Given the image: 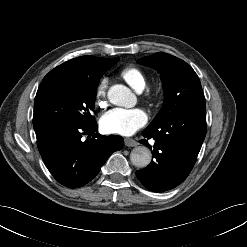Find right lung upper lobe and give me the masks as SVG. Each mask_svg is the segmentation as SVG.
<instances>
[{"label":"right lung upper lobe","instance_id":"obj_1","mask_svg":"<svg viewBox=\"0 0 247 247\" xmlns=\"http://www.w3.org/2000/svg\"><path fill=\"white\" fill-rule=\"evenodd\" d=\"M112 59L98 58L94 56H81L55 67L44 79L52 77H67L73 79L95 81L103 75L104 67Z\"/></svg>","mask_w":247,"mask_h":247}]
</instances>
